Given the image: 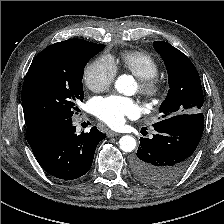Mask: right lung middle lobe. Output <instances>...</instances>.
<instances>
[{
    "label": "right lung middle lobe",
    "mask_w": 224,
    "mask_h": 224,
    "mask_svg": "<svg viewBox=\"0 0 224 224\" xmlns=\"http://www.w3.org/2000/svg\"><path fill=\"white\" fill-rule=\"evenodd\" d=\"M105 45L88 42L71 50L44 49L32 61L22 87L26 125L47 117L71 118L83 101L86 63Z\"/></svg>",
    "instance_id": "right-lung-middle-lobe-1"
}]
</instances>
